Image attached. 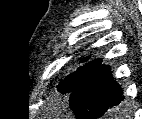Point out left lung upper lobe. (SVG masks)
I'll use <instances>...</instances> for the list:
<instances>
[{"label": "left lung upper lobe", "instance_id": "obj_1", "mask_svg": "<svg viewBox=\"0 0 142 119\" xmlns=\"http://www.w3.org/2000/svg\"><path fill=\"white\" fill-rule=\"evenodd\" d=\"M87 59L88 57L84 58L82 61H86ZM99 63H101V60L95 59L80 66L75 72L68 75L65 80L61 82V84L57 87L58 91L61 93H71L82 78Z\"/></svg>", "mask_w": 142, "mask_h": 119}]
</instances>
